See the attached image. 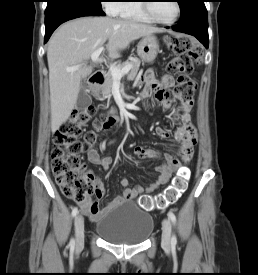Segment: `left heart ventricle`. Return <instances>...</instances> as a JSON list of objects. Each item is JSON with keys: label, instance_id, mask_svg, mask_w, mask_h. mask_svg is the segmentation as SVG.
<instances>
[{"label": "left heart ventricle", "instance_id": "1", "mask_svg": "<svg viewBox=\"0 0 258 275\" xmlns=\"http://www.w3.org/2000/svg\"><path fill=\"white\" fill-rule=\"evenodd\" d=\"M151 8L154 15L162 21L172 20L177 12L175 2L171 0L154 1Z\"/></svg>", "mask_w": 258, "mask_h": 275}]
</instances>
